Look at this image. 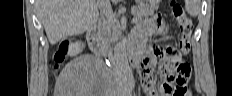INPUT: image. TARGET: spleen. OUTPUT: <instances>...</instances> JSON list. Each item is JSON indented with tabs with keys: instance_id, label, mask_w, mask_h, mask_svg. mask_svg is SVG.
Wrapping results in <instances>:
<instances>
[{
	"instance_id": "spleen-1",
	"label": "spleen",
	"mask_w": 232,
	"mask_h": 96,
	"mask_svg": "<svg viewBox=\"0 0 232 96\" xmlns=\"http://www.w3.org/2000/svg\"><path fill=\"white\" fill-rule=\"evenodd\" d=\"M185 10L192 17H196L201 11L200 0H185Z\"/></svg>"
}]
</instances>
